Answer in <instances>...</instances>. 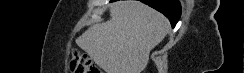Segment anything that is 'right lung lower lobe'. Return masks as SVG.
<instances>
[{
	"mask_svg": "<svg viewBox=\"0 0 244 73\" xmlns=\"http://www.w3.org/2000/svg\"><path fill=\"white\" fill-rule=\"evenodd\" d=\"M117 0H110V2ZM155 8L169 18L172 27H175L181 15V6L178 0H140Z\"/></svg>",
	"mask_w": 244,
	"mask_h": 73,
	"instance_id": "1",
	"label": "right lung lower lobe"
}]
</instances>
